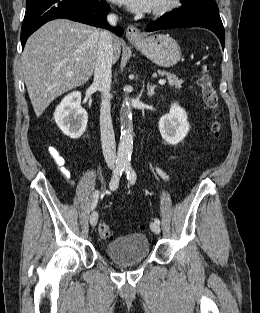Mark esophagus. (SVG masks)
<instances>
[{
    "label": "esophagus",
    "instance_id": "esophagus-1",
    "mask_svg": "<svg viewBox=\"0 0 260 313\" xmlns=\"http://www.w3.org/2000/svg\"><path fill=\"white\" fill-rule=\"evenodd\" d=\"M126 37L129 41H139L142 37L140 30L134 25H129L126 29Z\"/></svg>",
    "mask_w": 260,
    "mask_h": 313
}]
</instances>
